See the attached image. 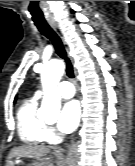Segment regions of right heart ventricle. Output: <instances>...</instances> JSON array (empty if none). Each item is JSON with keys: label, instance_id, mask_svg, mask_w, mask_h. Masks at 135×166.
Returning <instances> with one entry per match:
<instances>
[{"label": "right heart ventricle", "instance_id": "obj_1", "mask_svg": "<svg viewBox=\"0 0 135 166\" xmlns=\"http://www.w3.org/2000/svg\"><path fill=\"white\" fill-rule=\"evenodd\" d=\"M38 97L22 102L17 111V131L23 143L38 146L47 141V125L37 114Z\"/></svg>", "mask_w": 135, "mask_h": 166}]
</instances>
